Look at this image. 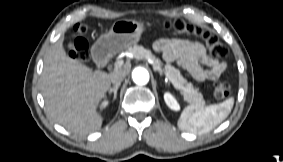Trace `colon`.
Here are the masks:
<instances>
[{"instance_id": "1", "label": "colon", "mask_w": 283, "mask_h": 162, "mask_svg": "<svg viewBox=\"0 0 283 162\" xmlns=\"http://www.w3.org/2000/svg\"><path fill=\"white\" fill-rule=\"evenodd\" d=\"M164 30L170 34L191 36L201 40L205 43L213 57L224 58L228 54V49L216 36L197 26L190 25L183 20L178 19L165 22ZM76 31L79 34H83L86 31V27L79 25L76 27ZM69 55L73 60L79 63H85L89 57L87 42L83 38H78L72 43L69 49ZM231 93L232 85L228 81L220 80L213 84V95L217 100H223L229 97Z\"/></svg>"}]
</instances>
